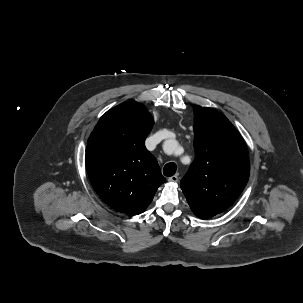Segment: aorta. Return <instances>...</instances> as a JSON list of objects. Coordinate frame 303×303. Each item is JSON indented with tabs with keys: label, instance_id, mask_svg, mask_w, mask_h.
<instances>
[{
	"label": "aorta",
	"instance_id": "1",
	"mask_svg": "<svg viewBox=\"0 0 303 303\" xmlns=\"http://www.w3.org/2000/svg\"><path fill=\"white\" fill-rule=\"evenodd\" d=\"M172 146L176 147L177 142L175 140H167L163 144V149H164V151H167Z\"/></svg>",
	"mask_w": 303,
	"mask_h": 303
}]
</instances>
